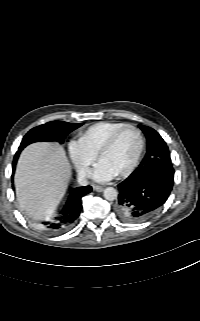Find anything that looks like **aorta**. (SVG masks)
Masks as SVG:
<instances>
[{"mask_svg":"<svg viewBox=\"0 0 200 321\" xmlns=\"http://www.w3.org/2000/svg\"><path fill=\"white\" fill-rule=\"evenodd\" d=\"M104 198L108 201H113L117 198L118 196V192L115 188L113 187H107L105 190H104Z\"/></svg>","mask_w":200,"mask_h":321,"instance_id":"1","label":"aorta"}]
</instances>
